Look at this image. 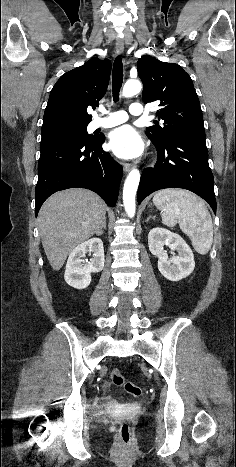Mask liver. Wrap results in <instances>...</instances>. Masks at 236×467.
<instances>
[{
	"label": "liver",
	"instance_id": "6515ba94",
	"mask_svg": "<svg viewBox=\"0 0 236 467\" xmlns=\"http://www.w3.org/2000/svg\"><path fill=\"white\" fill-rule=\"evenodd\" d=\"M105 215L100 196L82 188L56 192L44 202L38 215L39 232L53 270H60L72 250L99 230Z\"/></svg>",
	"mask_w": 236,
	"mask_h": 467
}]
</instances>
